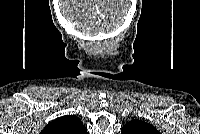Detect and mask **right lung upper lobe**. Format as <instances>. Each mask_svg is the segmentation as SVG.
<instances>
[{
	"instance_id": "cb5924a9",
	"label": "right lung upper lobe",
	"mask_w": 200,
	"mask_h": 134,
	"mask_svg": "<svg viewBox=\"0 0 200 134\" xmlns=\"http://www.w3.org/2000/svg\"><path fill=\"white\" fill-rule=\"evenodd\" d=\"M44 134H85L86 128L81 120L74 116L68 115L60 117L43 129Z\"/></svg>"
}]
</instances>
